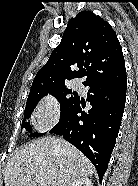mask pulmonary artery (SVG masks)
<instances>
[{
	"label": "pulmonary artery",
	"instance_id": "e3ab8cb5",
	"mask_svg": "<svg viewBox=\"0 0 138 186\" xmlns=\"http://www.w3.org/2000/svg\"><path fill=\"white\" fill-rule=\"evenodd\" d=\"M74 87H75V89H79V88H80V85H79L78 83H76V84L74 85Z\"/></svg>",
	"mask_w": 138,
	"mask_h": 186
}]
</instances>
